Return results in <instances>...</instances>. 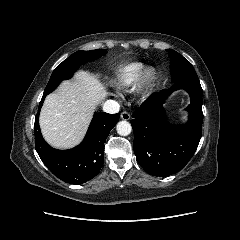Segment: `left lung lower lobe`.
Wrapping results in <instances>:
<instances>
[{"instance_id":"left-lung-lower-lobe-1","label":"left lung lower lobe","mask_w":240,"mask_h":240,"mask_svg":"<svg viewBox=\"0 0 240 240\" xmlns=\"http://www.w3.org/2000/svg\"><path fill=\"white\" fill-rule=\"evenodd\" d=\"M184 89L191 98L189 120L185 125L171 126L162 108L173 91ZM202 87L200 82H177L153 93L132 115L134 152L137 162L149 174L168 176L180 171L195 153L203 121Z\"/></svg>"}]
</instances>
